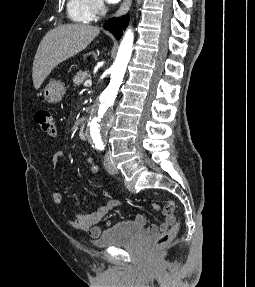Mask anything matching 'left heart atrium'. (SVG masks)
I'll return each instance as SVG.
<instances>
[{
	"label": "left heart atrium",
	"mask_w": 255,
	"mask_h": 287,
	"mask_svg": "<svg viewBox=\"0 0 255 287\" xmlns=\"http://www.w3.org/2000/svg\"><path fill=\"white\" fill-rule=\"evenodd\" d=\"M73 33H86V32H73ZM72 39H86V38H72ZM76 48H87V47H76Z\"/></svg>",
	"instance_id": "1"
}]
</instances>
